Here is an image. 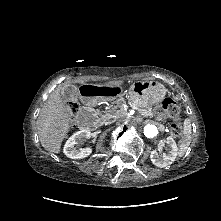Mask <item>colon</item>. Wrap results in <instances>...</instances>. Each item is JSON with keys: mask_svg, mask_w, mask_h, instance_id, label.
<instances>
[{"mask_svg": "<svg viewBox=\"0 0 221 221\" xmlns=\"http://www.w3.org/2000/svg\"><path fill=\"white\" fill-rule=\"evenodd\" d=\"M70 109L72 112L78 110L77 103H71ZM156 114L159 118L171 117L174 120L170 124L171 134L175 137L182 133L183 124L179 120L180 117V107L178 103L172 98L164 99L156 108Z\"/></svg>", "mask_w": 221, "mask_h": 221, "instance_id": "obj_1", "label": "colon"}]
</instances>
